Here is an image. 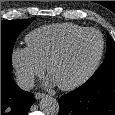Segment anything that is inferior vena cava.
<instances>
[{
	"mask_svg": "<svg viewBox=\"0 0 115 115\" xmlns=\"http://www.w3.org/2000/svg\"><path fill=\"white\" fill-rule=\"evenodd\" d=\"M16 84L21 89L29 91L34 87V78L26 73H18L16 76Z\"/></svg>",
	"mask_w": 115,
	"mask_h": 115,
	"instance_id": "602c4592",
	"label": "inferior vena cava"
}]
</instances>
